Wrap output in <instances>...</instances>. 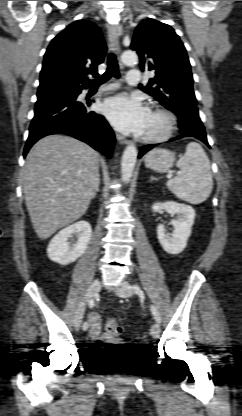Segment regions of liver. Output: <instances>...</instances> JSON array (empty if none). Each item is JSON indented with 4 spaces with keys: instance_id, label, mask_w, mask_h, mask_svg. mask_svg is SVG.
<instances>
[{
    "instance_id": "obj_1",
    "label": "liver",
    "mask_w": 242,
    "mask_h": 416,
    "mask_svg": "<svg viewBox=\"0 0 242 416\" xmlns=\"http://www.w3.org/2000/svg\"><path fill=\"white\" fill-rule=\"evenodd\" d=\"M100 155L82 141L59 134L40 139L23 170L26 207L40 239L80 219L99 178Z\"/></svg>"
}]
</instances>
